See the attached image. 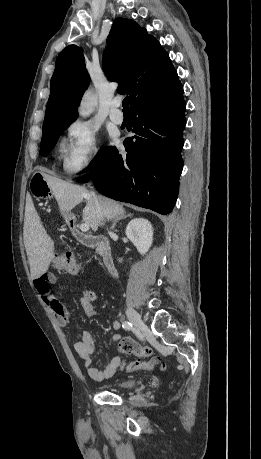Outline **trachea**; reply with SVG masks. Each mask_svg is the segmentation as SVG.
<instances>
[{"instance_id": "3493384b", "label": "trachea", "mask_w": 261, "mask_h": 459, "mask_svg": "<svg viewBox=\"0 0 261 459\" xmlns=\"http://www.w3.org/2000/svg\"><path fill=\"white\" fill-rule=\"evenodd\" d=\"M123 110L129 111V98L126 97L122 102Z\"/></svg>"}]
</instances>
